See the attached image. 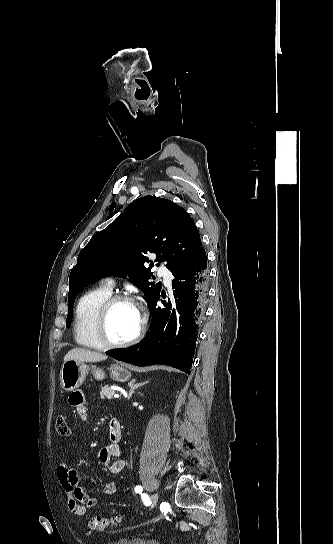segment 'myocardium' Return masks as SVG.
Instances as JSON below:
<instances>
[{
    "label": "myocardium",
    "instance_id": "f54148a6",
    "mask_svg": "<svg viewBox=\"0 0 333 544\" xmlns=\"http://www.w3.org/2000/svg\"><path fill=\"white\" fill-rule=\"evenodd\" d=\"M120 303H129L137 307V303L130 296L124 295V294H114V295H111L102 303V305L100 306L97 312L96 319H95V334L98 341L103 345V347H106V348L128 347L136 343L144 333L146 322H145L144 316L139 311L140 325L132 337L120 342L113 341L110 339L108 335V330H107L108 318L112 309L117 304H120Z\"/></svg>",
    "mask_w": 333,
    "mask_h": 544
}]
</instances>
